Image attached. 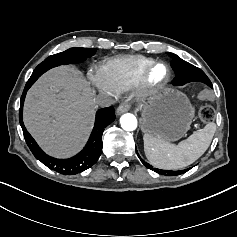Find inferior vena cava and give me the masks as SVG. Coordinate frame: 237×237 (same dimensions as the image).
<instances>
[{
    "label": "inferior vena cava",
    "mask_w": 237,
    "mask_h": 237,
    "mask_svg": "<svg viewBox=\"0 0 237 237\" xmlns=\"http://www.w3.org/2000/svg\"><path fill=\"white\" fill-rule=\"evenodd\" d=\"M95 102L101 108H107L115 104L114 100L111 97L105 95H98L95 98Z\"/></svg>",
    "instance_id": "1"
}]
</instances>
